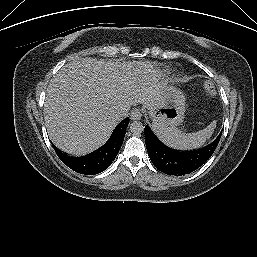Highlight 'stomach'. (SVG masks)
<instances>
[{"instance_id":"stomach-1","label":"stomach","mask_w":257,"mask_h":257,"mask_svg":"<svg viewBox=\"0 0 257 257\" xmlns=\"http://www.w3.org/2000/svg\"><path fill=\"white\" fill-rule=\"evenodd\" d=\"M185 96L174 86H165L161 98L148 110L153 125L171 127L179 125L185 113Z\"/></svg>"}]
</instances>
